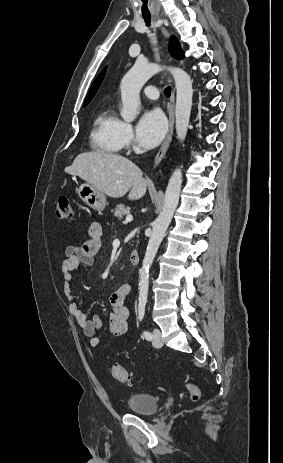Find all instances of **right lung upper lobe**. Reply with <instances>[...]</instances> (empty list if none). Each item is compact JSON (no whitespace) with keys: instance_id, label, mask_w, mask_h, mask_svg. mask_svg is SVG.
<instances>
[{"instance_id":"obj_1","label":"right lung upper lobe","mask_w":283,"mask_h":463,"mask_svg":"<svg viewBox=\"0 0 283 463\" xmlns=\"http://www.w3.org/2000/svg\"><path fill=\"white\" fill-rule=\"evenodd\" d=\"M105 72H106V67L102 70V72L98 75V77L93 82L84 103H89L92 100V98L94 97L95 93L97 92L100 84L103 81Z\"/></svg>"}]
</instances>
